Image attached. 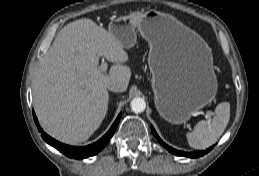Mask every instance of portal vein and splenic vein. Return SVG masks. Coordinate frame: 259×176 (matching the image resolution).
I'll use <instances>...</instances> for the list:
<instances>
[{
    "instance_id": "portal-vein-and-splenic-vein-1",
    "label": "portal vein and splenic vein",
    "mask_w": 259,
    "mask_h": 176,
    "mask_svg": "<svg viewBox=\"0 0 259 176\" xmlns=\"http://www.w3.org/2000/svg\"><path fill=\"white\" fill-rule=\"evenodd\" d=\"M100 69H101L102 72H106L107 64L104 61L101 62ZM204 115H205L206 118H210L212 113L211 112H206Z\"/></svg>"
}]
</instances>
